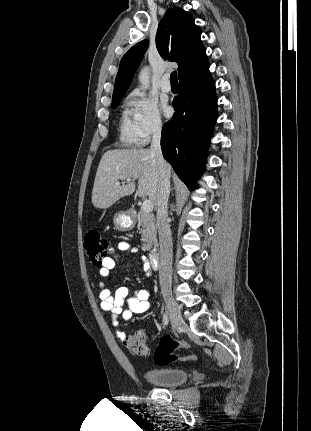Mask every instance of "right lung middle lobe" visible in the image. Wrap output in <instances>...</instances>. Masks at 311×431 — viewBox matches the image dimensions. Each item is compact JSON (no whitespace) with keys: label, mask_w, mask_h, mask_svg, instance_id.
Instances as JSON below:
<instances>
[{"label":"right lung middle lobe","mask_w":311,"mask_h":431,"mask_svg":"<svg viewBox=\"0 0 311 431\" xmlns=\"http://www.w3.org/2000/svg\"><path fill=\"white\" fill-rule=\"evenodd\" d=\"M122 98H123V96L113 98L112 108L117 107L119 105V103H120V101H121Z\"/></svg>","instance_id":"obj_1"}]
</instances>
